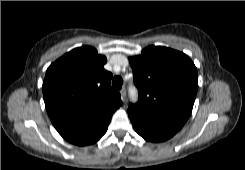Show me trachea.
Instances as JSON below:
<instances>
[{
    "label": "trachea",
    "instance_id": "obj_1",
    "mask_svg": "<svg viewBox=\"0 0 245 170\" xmlns=\"http://www.w3.org/2000/svg\"><path fill=\"white\" fill-rule=\"evenodd\" d=\"M123 84V79L120 76H116L112 80V85L114 89L120 90Z\"/></svg>",
    "mask_w": 245,
    "mask_h": 170
}]
</instances>
